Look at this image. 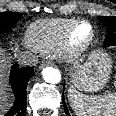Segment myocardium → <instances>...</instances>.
Segmentation results:
<instances>
[{
  "label": "myocardium",
  "mask_w": 116,
  "mask_h": 116,
  "mask_svg": "<svg viewBox=\"0 0 116 116\" xmlns=\"http://www.w3.org/2000/svg\"><path fill=\"white\" fill-rule=\"evenodd\" d=\"M87 25L90 28V34L87 39L77 43L74 35L79 27ZM96 31L93 24L87 20H77L64 32L59 46L58 52L61 58L66 62H75L79 60L89 49L95 39Z\"/></svg>",
  "instance_id": "f54148a6"
}]
</instances>
